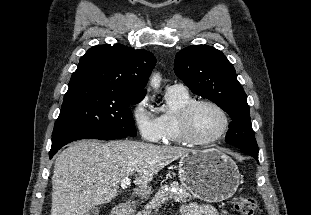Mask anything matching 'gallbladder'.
Segmentation results:
<instances>
[{
    "instance_id": "gallbladder-1",
    "label": "gallbladder",
    "mask_w": 311,
    "mask_h": 215,
    "mask_svg": "<svg viewBox=\"0 0 311 215\" xmlns=\"http://www.w3.org/2000/svg\"><path fill=\"white\" fill-rule=\"evenodd\" d=\"M100 209L98 207H93L87 215H99Z\"/></svg>"
}]
</instances>
